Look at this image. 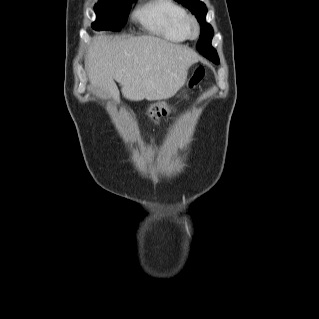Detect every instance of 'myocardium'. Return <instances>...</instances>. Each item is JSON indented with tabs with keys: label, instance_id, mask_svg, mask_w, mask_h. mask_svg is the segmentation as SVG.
<instances>
[{
	"label": "myocardium",
	"instance_id": "obj_1",
	"mask_svg": "<svg viewBox=\"0 0 319 319\" xmlns=\"http://www.w3.org/2000/svg\"><path fill=\"white\" fill-rule=\"evenodd\" d=\"M184 32L190 39H195L199 36L200 27L195 17L189 15L186 17L184 21Z\"/></svg>",
	"mask_w": 319,
	"mask_h": 319
}]
</instances>
